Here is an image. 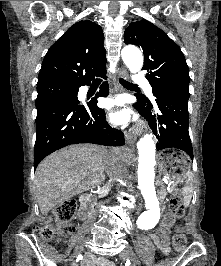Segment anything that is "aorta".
Returning a JSON list of instances; mask_svg holds the SVG:
<instances>
[{
	"label": "aorta",
	"instance_id": "aorta-1",
	"mask_svg": "<svg viewBox=\"0 0 221 266\" xmlns=\"http://www.w3.org/2000/svg\"><path fill=\"white\" fill-rule=\"evenodd\" d=\"M122 59L130 72L136 73L143 66V56L136 47L126 46L122 50ZM138 149V186L145 199L147 211L143 212L137 221L140 229L154 226L160 217L159 201L154 186V166L156 146L151 134H146L137 142Z\"/></svg>",
	"mask_w": 221,
	"mask_h": 266
}]
</instances>
